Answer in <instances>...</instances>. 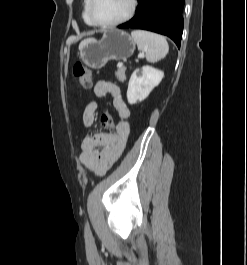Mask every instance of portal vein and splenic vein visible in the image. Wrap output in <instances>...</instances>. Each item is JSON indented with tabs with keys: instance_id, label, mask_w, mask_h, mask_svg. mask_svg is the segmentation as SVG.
Returning <instances> with one entry per match:
<instances>
[{
	"instance_id": "obj_1",
	"label": "portal vein and splenic vein",
	"mask_w": 247,
	"mask_h": 265,
	"mask_svg": "<svg viewBox=\"0 0 247 265\" xmlns=\"http://www.w3.org/2000/svg\"><path fill=\"white\" fill-rule=\"evenodd\" d=\"M143 57H144V54H140V55L138 56V58H143ZM119 66L122 67L123 64L121 63V64H119Z\"/></svg>"
}]
</instances>
